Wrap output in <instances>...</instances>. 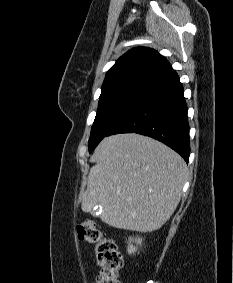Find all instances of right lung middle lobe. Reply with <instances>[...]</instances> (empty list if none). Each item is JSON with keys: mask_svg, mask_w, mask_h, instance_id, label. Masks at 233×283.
I'll list each match as a JSON object with an SVG mask.
<instances>
[{"mask_svg": "<svg viewBox=\"0 0 233 283\" xmlns=\"http://www.w3.org/2000/svg\"><path fill=\"white\" fill-rule=\"evenodd\" d=\"M149 83L150 81L147 80H131L102 89L99 97L98 111L88 142L90 153L107 136L112 126L127 111Z\"/></svg>", "mask_w": 233, "mask_h": 283, "instance_id": "obj_1", "label": "right lung middle lobe"}]
</instances>
